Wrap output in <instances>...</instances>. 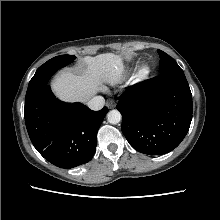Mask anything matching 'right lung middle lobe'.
<instances>
[{"label":"right lung middle lobe","instance_id":"1","mask_svg":"<svg viewBox=\"0 0 220 220\" xmlns=\"http://www.w3.org/2000/svg\"><path fill=\"white\" fill-rule=\"evenodd\" d=\"M75 58L74 55H60L41 65L29 82L26 97L33 95L45 86L58 69L72 63Z\"/></svg>","mask_w":220,"mask_h":220}]
</instances>
